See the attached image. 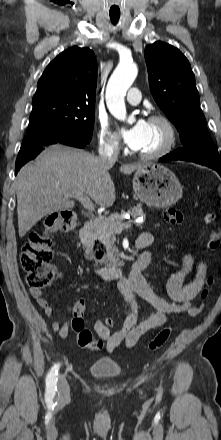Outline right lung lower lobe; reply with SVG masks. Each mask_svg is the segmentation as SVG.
I'll return each mask as SVG.
<instances>
[{
	"mask_svg": "<svg viewBox=\"0 0 221 440\" xmlns=\"http://www.w3.org/2000/svg\"><path fill=\"white\" fill-rule=\"evenodd\" d=\"M89 142L90 141H85L80 138L51 132L26 135L16 159L15 174H17L24 164L33 160L43 150L44 146L60 143L77 148H84Z\"/></svg>",
	"mask_w": 221,
	"mask_h": 440,
	"instance_id": "right-lung-lower-lobe-1",
	"label": "right lung lower lobe"
}]
</instances>
